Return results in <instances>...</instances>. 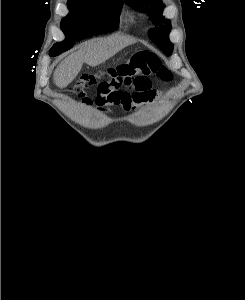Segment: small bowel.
I'll return each instance as SVG.
<instances>
[{
  "mask_svg": "<svg viewBox=\"0 0 245 300\" xmlns=\"http://www.w3.org/2000/svg\"><path fill=\"white\" fill-rule=\"evenodd\" d=\"M84 106L89 107L93 104L85 92L81 93ZM155 97L152 84L147 75H142L131 84L126 86L119 78H107L98 83L97 93L94 99L96 111L108 113L107 106L117 105L125 110H135L151 102Z\"/></svg>",
  "mask_w": 245,
  "mask_h": 300,
  "instance_id": "small-bowel-1",
  "label": "small bowel"
}]
</instances>
